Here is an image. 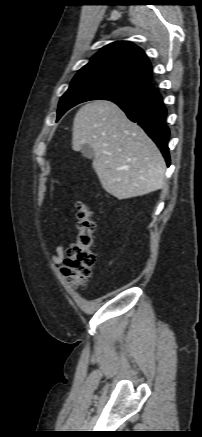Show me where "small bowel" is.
<instances>
[{
    "mask_svg": "<svg viewBox=\"0 0 202 437\" xmlns=\"http://www.w3.org/2000/svg\"><path fill=\"white\" fill-rule=\"evenodd\" d=\"M51 258L56 265L62 263L64 259V247L62 244L60 243L57 244L55 248V253L51 255Z\"/></svg>",
    "mask_w": 202,
    "mask_h": 437,
    "instance_id": "obj_1",
    "label": "small bowel"
}]
</instances>
